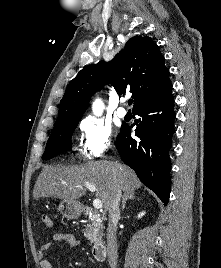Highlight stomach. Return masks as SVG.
Instances as JSON below:
<instances>
[{
	"label": "stomach",
	"mask_w": 221,
	"mask_h": 268,
	"mask_svg": "<svg viewBox=\"0 0 221 268\" xmlns=\"http://www.w3.org/2000/svg\"><path fill=\"white\" fill-rule=\"evenodd\" d=\"M58 210L67 219H77L82 212V206L78 201L62 200Z\"/></svg>",
	"instance_id": "0dacf381"
}]
</instances>
